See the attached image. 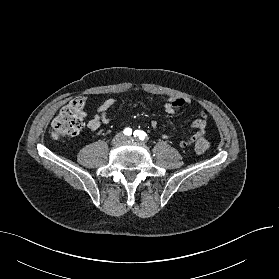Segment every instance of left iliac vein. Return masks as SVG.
Returning a JSON list of instances; mask_svg holds the SVG:
<instances>
[{
	"mask_svg": "<svg viewBox=\"0 0 279 279\" xmlns=\"http://www.w3.org/2000/svg\"><path fill=\"white\" fill-rule=\"evenodd\" d=\"M124 140H125V141H131L132 138H131V137H125Z\"/></svg>",
	"mask_w": 279,
	"mask_h": 279,
	"instance_id": "left-iliac-vein-1",
	"label": "left iliac vein"
}]
</instances>
